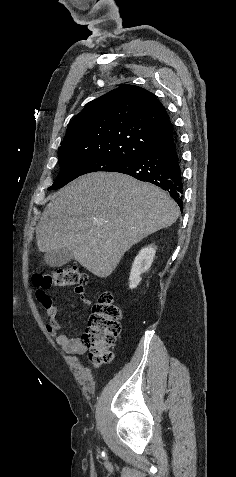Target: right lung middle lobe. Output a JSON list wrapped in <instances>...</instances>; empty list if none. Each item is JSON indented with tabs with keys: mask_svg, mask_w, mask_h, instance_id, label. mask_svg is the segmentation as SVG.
I'll list each match as a JSON object with an SVG mask.
<instances>
[{
	"mask_svg": "<svg viewBox=\"0 0 236 477\" xmlns=\"http://www.w3.org/2000/svg\"><path fill=\"white\" fill-rule=\"evenodd\" d=\"M130 160L108 156H84L58 161L60 172L49 190L59 189L77 177L98 171L114 172Z\"/></svg>",
	"mask_w": 236,
	"mask_h": 477,
	"instance_id": "1",
	"label": "right lung middle lobe"
}]
</instances>
